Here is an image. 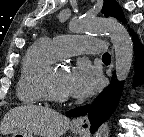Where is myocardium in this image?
<instances>
[{
    "mask_svg": "<svg viewBox=\"0 0 144 137\" xmlns=\"http://www.w3.org/2000/svg\"><path fill=\"white\" fill-rule=\"evenodd\" d=\"M56 67L51 66L44 74L42 87L46 98L57 103H65L69 101V96L61 93L55 86L54 74Z\"/></svg>",
    "mask_w": 144,
    "mask_h": 137,
    "instance_id": "myocardium-1",
    "label": "myocardium"
}]
</instances>
